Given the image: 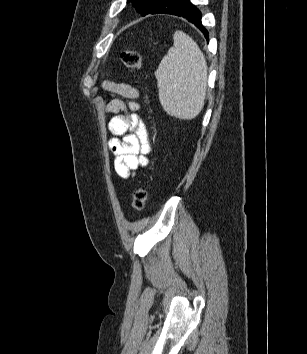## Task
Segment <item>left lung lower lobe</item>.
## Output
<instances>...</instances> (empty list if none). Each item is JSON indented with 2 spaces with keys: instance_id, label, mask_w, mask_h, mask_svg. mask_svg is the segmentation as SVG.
I'll list each match as a JSON object with an SVG mask.
<instances>
[{
  "instance_id": "left-lung-lower-lobe-1",
  "label": "left lung lower lobe",
  "mask_w": 307,
  "mask_h": 354,
  "mask_svg": "<svg viewBox=\"0 0 307 354\" xmlns=\"http://www.w3.org/2000/svg\"><path fill=\"white\" fill-rule=\"evenodd\" d=\"M163 13L181 16L192 22L204 34L208 40V31L201 22V12L190 2V0H169L166 5L154 14Z\"/></svg>"
}]
</instances>
